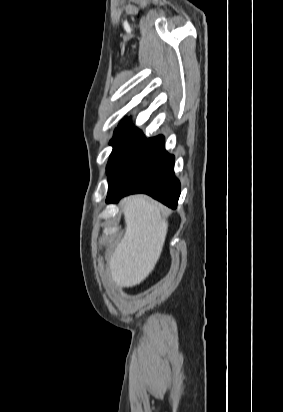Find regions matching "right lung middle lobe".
<instances>
[{
	"label": "right lung middle lobe",
	"instance_id": "obj_1",
	"mask_svg": "<svg viewBox=\"0 0 283 412\" xmlns=\"http://www.w3.org/2000/svg\"><path fill=\"white\" fill-rule=\"evenodd\" d=\"M116 139L110 141L113 151L110 155L107 174H110L115 167L135 148H137L145 136L141 130L131 124V119H124L118 126Z\"/></svg>",
	"mask_w": 283,
	"mask_h": 412
}]
</instances>
